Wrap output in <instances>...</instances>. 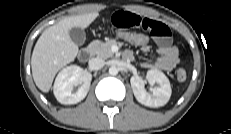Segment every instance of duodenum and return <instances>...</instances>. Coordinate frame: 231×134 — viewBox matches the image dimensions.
I'll return each instance as SVG.
<instances>
[{"instance_id": "1", "label": "duodenum", "mask_w": 231, "mask_h": 134, "mask_svg": "<svg viewBox=\"0 0 231 134\" xmlns=\"http://www.w3.org/2000/svg\"><path fill=\"white\" fill-rule=\"evenodd\" d=\"M92 54V49L90 47H87L83 50H81L78 54V58L81 62H86Z\"/></svg>"}]
</instances>
